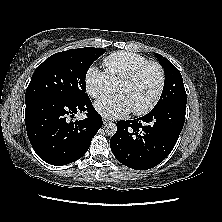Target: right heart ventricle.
<instances>
[{"mask_svg":"<svg viewBox=\"0 0 222 222\" xmlns=\"http://www.w3.org/2000/svg\"><path fill=\"white\" fill-rule=\"evenodd\" d=\"M147 61L148 59L142 55L120 51L107 56L103 66L114 85L118 86L136 67Z\"/></svg>","mask_w":222,"mask_h":222,"instance_id":"e07e8e85","label":"right heart ventricle"}]
</instances>
